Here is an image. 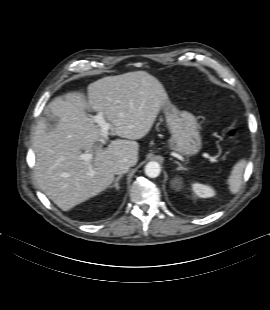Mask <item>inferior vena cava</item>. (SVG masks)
<instances>
[{"label":"inferior vena cava","instance_id":"inferior-vena-cava-1","mask_svg":"<svg viewBox=\"0 0 270 310\" xmlns=\"http://www.w3.org/2000/svg\"><path fill=\"white\" fill-rule=\"evenodd\" d=\"M129 168L130 164L127 160H120L114 165L113 171L115 174L121 175L126 173L129 170Z\"/></svg>","mask_w":270,"mask_h":310}]
</instances>
